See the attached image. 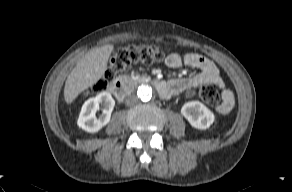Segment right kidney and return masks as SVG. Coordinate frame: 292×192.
<instances>
[{
    "label": "right kidney",
    "instance_id": "obj_1",
    "mask_svg": "<svg viewBox=\"0 0 292 192\" xmlns=\"http://www.w3.org/2000/svg\"><path fill=\"white\" fill-rule=\"evenodd\" d=\"M100 104L104 106L102 114L97 117L96 112L100 109ZM115 101L107 91L99 93L97 96L88 99L82 106L77 121L80 128L87 132H97L105 126L111 118Z\"/></svg>",
    "mask_w": 292,
    "mask_h": 192
}]
</instances>
